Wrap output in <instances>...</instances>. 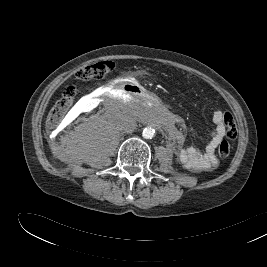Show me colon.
I'll return each instance as SVG.
<instances>
[{"mask_svg": "<svg viewBox=\"0 0 267 267\" xmlns=\"http://www.w3.org/2000/svg\"><path fill=\"white\" fill-rule=\"evenodd\" d=\"M113 66L111 62H99L93 65L85 66L79 69L76 73V77L80 80H93L102 77L109 72ZM76 96V88L70 86L66 88L61 94L58 101L50 110L47 117V124L50 127L56 126L62 118L65 116L69 108L72 106ZM225 123L227 127V137L232 139L236 136V126L233 117L227 113L225 117ZM231 152V145L227 140L220 142L218 146V154L220 157H227Z\"/></svg>", "mask_w": 267, "mask_h": 267, "instance_id": "colon-1", "label": "colon"}]
</instances>
